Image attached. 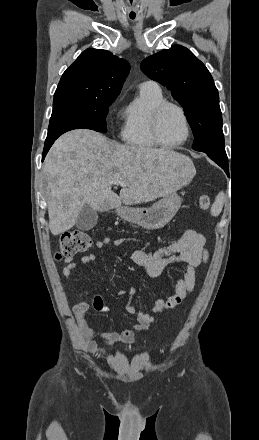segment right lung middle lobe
<instances>
[{
    "mask_svg": "<svg viewBox=\"0 0 259 440\" xmlns=\"http://www.w3.org/2000/svg\"><path fill=\"white\" fill-rule=\"evenodd\" d=\"M116 98L63 95L54 96L53 111L46 140L59 137L73 129H91L106 132L108 108Z\"/></svg>",
    "mask_w": 259,
    "mask_h": 440,
    "instance_id": "dd1d6c3e",
    "label": "right lung middle lobe"
}]
</instances>
